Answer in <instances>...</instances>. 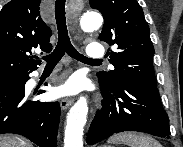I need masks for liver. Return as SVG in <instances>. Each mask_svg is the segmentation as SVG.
Instances as JSON below:
<instances>
[{
	"label": "liver",
	"instance_id": "6515ba94",
	"mask_svg": "<svg viewBox=\"0 0 183 147\" xmlns=\"http://www.w3.org/2000/svg\"><path fill=\"white\" fill-rule=\"evenodd\" d=\"M0 147H32L28 141L13 135L0 136Z\"/></svg>",
	"mask_w": 183,
	"mask_h": 147
}]
</instances>
